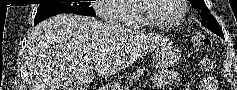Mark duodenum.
Returning a JSON list of instances; mask_svg holds the SVG:
<instances>
[{
	"label": "duodenum",
	"mask_w": 237,
	"mask_h": 90,
	"mask_svg": "<svg viewBox=\"0 0 237 90\" xmlns=\"http://www.w3.org/2000/svg\"><path fill=\"white\" fill-rule=\"evenodd\" d=\"M100 90H111V87H100Z\"/></svg>",
	"instance_id": "obj_1"
}]
</instances>
